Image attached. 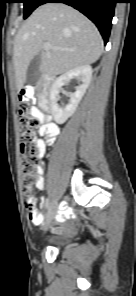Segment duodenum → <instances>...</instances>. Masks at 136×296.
<instances>
[{
  "label": "duodenum",
  "mask_w": 136,
  "mask_h": 296,
  "mask_svg": "<svg viewBox=\"0 0 136 296\" xmlns=\"http://www.w3.org/2000/svg\"><path fill=\"white\" fill-rule=\"evenodd\" d=\"M54 80V76L46 75L43 77L40 85L39 104L40 107L46 112H50L51 110L50 89Z\"/></svg>",
  "instance_id": "1"
}]
</instances>
